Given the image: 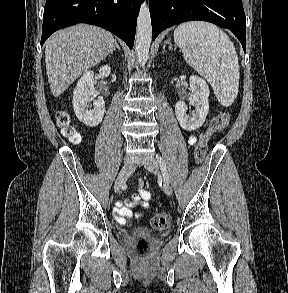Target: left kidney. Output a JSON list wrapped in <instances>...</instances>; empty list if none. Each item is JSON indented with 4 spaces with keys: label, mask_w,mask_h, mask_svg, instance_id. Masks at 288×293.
<instances>
[{
    "label": "left kidney",
    "mask_w": 288,
    "mask_h": 293,
    "mask_svg": "<svg viewBox=\"0 0 288 293\" xmlns=\"http://www.w3.org/2000/svg\"><path fill=\"white\" fill-rule=\"evenodd\" d=\"M189 83L193 94L192 103L195 109L190 114H187V106L184 101L180 100L175 105V114L183 129L194 131L205 122L209 112L208 97L210 91L207 83L198 76H190Z\"/></svg>",
    "instance_id": "obj_1"
}]
</instances>
